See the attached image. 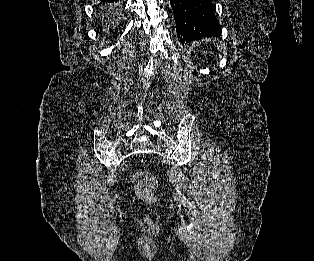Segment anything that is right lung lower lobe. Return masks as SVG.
Segmentation results:
<instances>
[{"mask_svg": "<svg viewBox=\"0 0 314 261\" xmlns=\"http://www.w3.org/2000/svg\"><path fill=\"white\" fill-rule=\"evenodd\" d=\"M118 0H100L99 10L104 19V24L113 25L117 17V3Z\"/></svg>", "mask_w": 314, "mask_h": 261, "instance_id": "98d812e1", "label": "right lung lower lobe"}]
</instances>
